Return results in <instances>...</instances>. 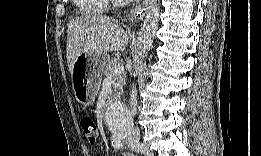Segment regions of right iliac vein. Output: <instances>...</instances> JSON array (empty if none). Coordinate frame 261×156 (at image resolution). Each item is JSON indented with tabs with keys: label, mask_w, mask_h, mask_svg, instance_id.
I'll return each mask as SVG.
<instances>
[{
	"label": "right iliac vein",
	"mask_w": 261,
	"mask_h": 156,
	"mask_svg": "<svg viewBox=\"0 0 261 156\" xmlns=\"http://www.w3.org/2000/svg\"><path fill=\"white\" fill-rule=\"evenodd\" d=\"M134 147L139 150L143 155L152 156L150 150L142 144H134Z\"/></svg>",
	"instance_id": "right-iliac-vein-1"
}]
</instances>
